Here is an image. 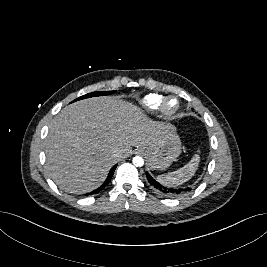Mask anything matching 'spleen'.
<instances>
[{
	"instance_id": "spleen-1",
	"label": "spleen",
	"mask_w": 267,
	"mask_h": 267,
	"mask_svg": "<svg viewBox=\"0 0 267 267\" xmlns=\"http://www.w3.org/2000/svg\"><path fill=\"white\" fill-rule=\"evenodd\" d=\"M200 156L194 155L188 164L182 168L158 176V180L166 186H177L188 181L196 172L199 166Z\"/></svg>"
}]
</instances>
